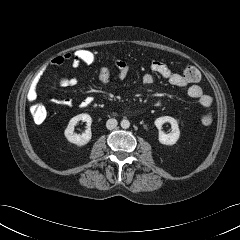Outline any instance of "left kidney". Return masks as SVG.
<instances>
[{"label":"left kidney","mask_w":240,"mask_h":240,"mask_svg":"<svg viewBox=\"0 0 240 240\" xmlns=\"http://www.w3.org/2000/svg\"><path fill=\"white\" fill-rule=\"evenodd\" d=\"M170 123L171 125V132L168 134H165L161 129L164 123ZM155 126L157 127V129L159 130V142L163 145H169L172 146L174 145L179 137H180V130H179V126H178V122L176 119H174L173 117L170 116H162L159 117L155 120L154 122Z\"/></svg>","instance_id":"5707ae66"}]
</instances>
